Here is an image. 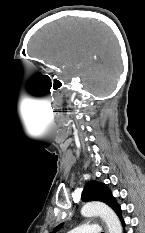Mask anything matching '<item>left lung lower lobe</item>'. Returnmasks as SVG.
Masks as SVG:
<instances>
[{
    "label": "left lung lower lobe",
    "instance_id": "1",
    "mask_svg": "<svg viewBox=\"0 0 145 233\" xmlns=\"http://www.w3.org/2000/svg\"><path fill=\"white\" fill-rule=\"evenodd\" d=\"M122 223H123V225L125 226V223H124V221L122 220Z\"/></svg>",
    "mask_w": 145,
    "mask_h": 233
}]
</instances>
